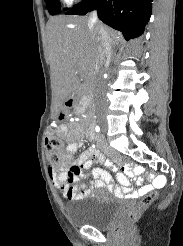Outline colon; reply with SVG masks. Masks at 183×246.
<instances>
[{
	"label": "colon",
	"instance_id": "5ec220e1",
	"mask_svg": "<svg viewBox=\"0 0 183 246\" xmlns=\"http://www.w3.org/2000/svg\"><path fill=\"white\" fill-rule=\"evenodd\" d=\"M45 147L50 166L55 169H61L64 167L67 158L63 154V144L53 130H49L45 137ZM118 160L126 162L127 165H134L135 163L134 160H131V157H127V155H118ZM70 172L73 173L71 170ZM156 196V192H151L146 195L136 207L124 214L123 222H133L139 216V214L155 200Z\"/></svg>",
	"mask_w": 183,
	"mask_h": 246
}]
</instances>
